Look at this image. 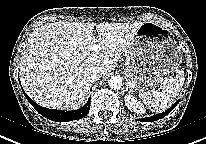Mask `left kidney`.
<instances>
[{
    "label": "left kidney",
    "instance_id": "5707ae66",
    "mask_svg": "<svg viewBox=\"0 0 206 144\" xmlns=\"http://www.w3.org/2000/svg\"><path fill=\"white\" fill-rule=\"evenodd\" d=\"M124 101H125V105L130 111L140 115L145 113V108L143 104L140 101H138L133 95L127 94L124 97Z\"/></svg>",
    "mask_w": 206,
    "mask_h": 144
}]
</instances>
